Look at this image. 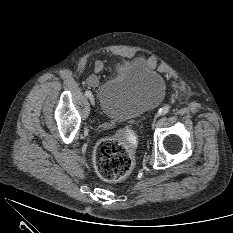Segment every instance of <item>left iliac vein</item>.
<instances>
[{
  "label": "left iliac vein",
  "mask_w": 233,
  "mask_h": 233,
  "mask_svg": "<svg viewBox=\"0 0 233 233\" xmlns=\"http://www.w3.org/2000/svg\"><path fill=\"white\" fill-rule=\"evenodd\" d=\"M158 116H159V115H156V116H155L154 121H153V124H152V127H155V126H156Z\"/></svg>",
  "instance_id": "4c4485c4"
}]
</instances>
